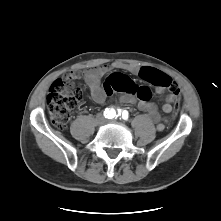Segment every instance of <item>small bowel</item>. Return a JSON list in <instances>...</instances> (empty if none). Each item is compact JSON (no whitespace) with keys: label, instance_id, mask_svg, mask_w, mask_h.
<instances>
[{"label":"small bowel","instance_id":"small-bowel-1","mask_svg":"<svg viewBox=\"0 0 221 221\" xmlns=\"http://www.w3.org/2000/svg\"><path fill=\"white\" fill-rule=\"evenodd\" d=\"M113 69L124 70L131 73L139 72V68L136 65L125 64L122 62H114L111 65L94 67L90 70L85 71L84 73L71 72L69 76L72 78H83L88 86L92 99L98 104L104 103L107 95H109L106 87H108L112 91H119L121 93L119 97L121 102L126 104H134L137 102L138 108L147 115L149 120L157 123V129H164V124L161 122L162 117L153 102L149 100H140L135 95L125 90H120L121 87L133 83L127 75L120 72L112 73L108 76L105 86L101 85L102 78L105 75L109 74ZM156 93L159 96H164L165 88L157 86ZM178 100L179 98L175 97L172 93L165 95L164 104L162 106L163 112L165 114H170L173 111V103L177 102Z\"/></svg>","mask_w":221,"mask_h":221}]
</instances>
